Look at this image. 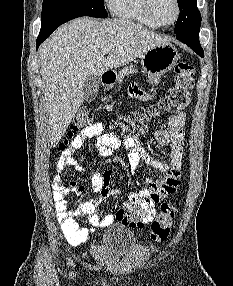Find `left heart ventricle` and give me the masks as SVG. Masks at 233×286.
Returning a JSON list of instances; mask_svg holds the SVG:
<instances>
[{
  "instance_id": "1",
  "label": "left heart ventricle",
  "mask_w": 233,
  "mask_h": 286,
  "mask_svg": "<svg viewBox=\"0 0 233 286\" xmlns=\"http://www.w3.org/2000/svg\"><path fill=\"white\" fill-rule=\"evenodd\" d=\"M153 13L158 22L167 24L171 22L176 13L173 0H153Z\"/></svg>"
}]
</instances>
